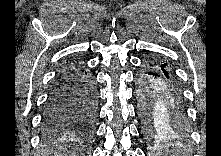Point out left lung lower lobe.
<instances>
[{"instance_id": "1", "label": "left lung lower lobe", "mask_w": 221, "mask_h": 156, "mask_svg": "<svg viewBox=\"0 0 221 156\" xmlns=\"http://www.w3.org/2000/svg\"><path fill=\"white\" fill-rule=\"evenodd\" d=\"M137 100L147 139L169 137L187 130L184 95L171 70L146 62L137 76Z\"/></svg>"}]
</instances>
